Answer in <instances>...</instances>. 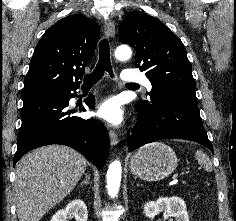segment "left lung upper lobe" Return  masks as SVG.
Returning a JSON list of instances; mask_svg holds the SVG:
<instances>
[{
  "label": "left lung upper lobe",
  "mask_w": 236,
  "mask_h": 221,
  "mask_svg": "<svg viewBox=\"0 0 236 221\" xmlns=\"http://www.w3.org/2000/svg\"><path fill=\"white\" fill-rule=\"evenodd\" d=\"M123 44L136 50V68L152 84L149 95L160 91L195 94L196 83L181 40L160 20L142 12L130 13L119 28Z\"/></svg>",
  "instance_id": "5c2ea615"
}]
</instances>
